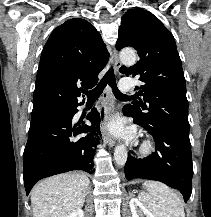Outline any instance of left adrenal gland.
I'll use <instances>...</instances> for the list:
<instances>
[{
  "mask_svg": "<svg viewBox=\"0 0 211 217\" xmlns=\"http://www.w3.org/2000/svg\"><path fill=\"white\" fill-rule=\"evenodd\" d=\"M130 194V196H132L133 195V192L132 193H129Z\"/></svg>",
  "mask_w": 211,
  "mask_h": 217,
  "instance_id": "left-adrenal-gland-1",
  "label": "left adrenal gland"
}]
</instances>
